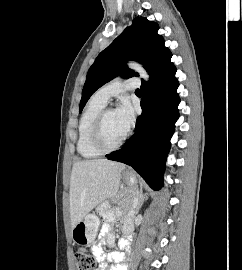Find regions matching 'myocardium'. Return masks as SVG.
Returning a JSON list of instances; mask_svg holds the SVG:
<instances>
[{
  "instance_id": "obj_1",
  "label": "myocardium",
  "mask_w": 242,
  "mask_h": 270,
  "mask_svg": "<svg viewBox=\"0 0 242 270\" xmlns=\"http://www.w3.org/2000/svg\"><path fill=\"white\" fill-rule=\"evenodd\" d=\"M114 109L112 108H104L99 115L97 116L92 132H91V143L92 145L99 150L102 153H108L117 150L120 148L123 143L126 141L128 138L129 132L126 131V133L123 135V137L114 145H108L106 144L104 140V125H105V120L110 111Z\"/></svg>"
}]
</instances>
